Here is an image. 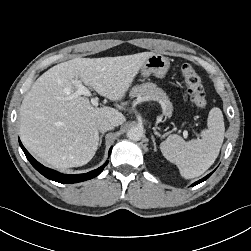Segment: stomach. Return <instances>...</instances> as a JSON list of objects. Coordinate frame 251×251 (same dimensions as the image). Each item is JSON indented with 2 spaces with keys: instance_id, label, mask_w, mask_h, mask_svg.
Returning a JSON list of instances; mask_svg holds the SVG:
<instances>
[{
  "instance_id": "1",
  "label": "stomach",
  "mask_w": 251,
  "mask_h": 251,
  "mask_svg": "<svg viewBox=\"0 0 251 251\" xmlns=\"http://www.w3.org/2000/svg\"><path fill=\"white\" fill-rule=\"evenodd\" d=\"M170 67V61L161 54L151 55L141 67V75L147 77L154 74L158 78H163Z\"/></svg>"
}]
</instances>
